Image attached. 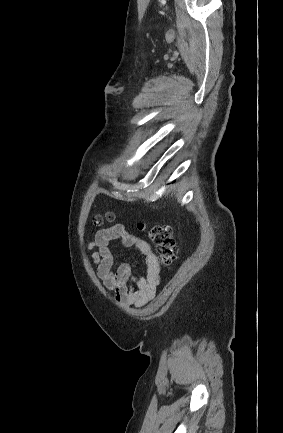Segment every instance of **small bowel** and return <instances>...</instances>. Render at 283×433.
I'll use <instances>...</instances> for the list:
<instances>
[{
    "mask_svg": "<svg viewBox=\"0 0 283 433\" xmlns=\"http://www.w3.org/2000/svg\"><path fill=\"white\" fill-rule=\"evenodd\" d=\"M137 249L143 258L144 273L134 276L127 263H118L111 250L113 242ZM88 248L99 279L106 289L113 292L116 304L123 308L141 307L150 301L160 282V267L151 245L115 224L99 230Z\"/></svg>",
    "mask_w": 283,
    "mask_h": 433,
    "instance_id": "small-bowel-1",
    "label": "small bowel"
}]
</instances>
